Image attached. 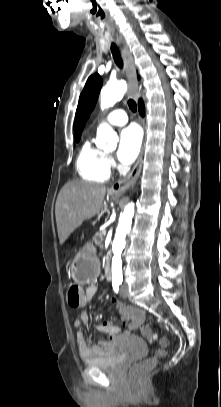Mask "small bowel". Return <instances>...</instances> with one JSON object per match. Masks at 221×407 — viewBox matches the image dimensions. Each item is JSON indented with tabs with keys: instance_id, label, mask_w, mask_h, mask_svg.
<instances>
[{
	"instance_id": "small-bowel-1",
	"label": "small bowel",
	"mask_w": 221,
	"mask_h": 407,
	"mask_svg": "<svg viewBox=\"0 0 221 407\" xmlns=\"http://www.w3.org/2000/svg\"><path fill=\"white\" fill-rule=\"evenodd\" d=\"M98 291V287L96 284H89L84 290V303L83 305H86L89 303L92 298L95 296V294ZM111 302L116 306L124 305L119 299L117 298H112ZM88 314L86 312L81 313L80 317L77 318L74 321V326L78 328L77 332V337H76V344L78 348V352L80 357L83 360H90L94 358H98L101 356H104L108 353H110L116 343L119 341V338L122 335V330L112 324L111 322H103L97 325L98 330H100L103 333H106L108 335V339L102 341L99 345L96 346H90L84 337V334L81 330L82 326L86 325L88 323ZM129 330L130 326L128 325Z\"/></svg>"
}]
</instances>
